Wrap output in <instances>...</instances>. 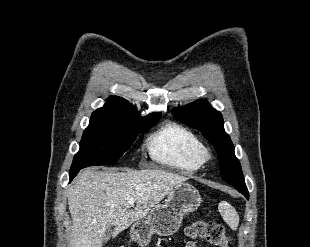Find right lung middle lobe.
Returning a JSON list of instances; mask_svg holds the SVG:
<instances>
[{"label": "right lung middle lobe", "mask_w": 310, "mask_h": 247, "mask_svg": "<svg viewBox=\"0 0 310 247\" xmlns=\"http://www.w3.org/2000/svg\"><path fill=\"white\" fill-rule=\"evenodd\" d=\"M159 119L160 116L146 121L91 117L70 171L94 165L115 164L132 146L138 134L153 127Z\"/></svg>", "instance_id": "dd1d6c3e"}]
</instances>
